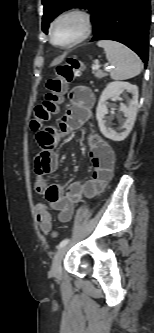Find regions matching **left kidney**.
Wrapping results in <instances>:
<instances>
[{
	"label": "left kidney",
	"mask_w": 154,
	"mask_h": 333,
	"mask_svg": "<svg viewBox=\"0 0 154 333\" xmlns=\"http://www.w3.org/2000/svg\"><path fill=\"white\" fill-rule=\"evenodd\" d=\"M122 90H127L132 94V99L128 105L121 103L120 111L124 113L126 117L125 121H122L119 131L111 128V118L106 117L108 114V102L107 100L117 97ZM138 110V87L129 82L114 81L109 83L103 90L98 106L96 109V118L101 133L108 139L113 141H123L131 132L136 114Z\"/></svg>",
	"instance_id": "5707ae66"
}]
</instances>
